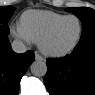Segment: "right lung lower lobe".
<instances>
[{
  "mask_svg": "<svg viewBox=\"0 0 95 95\" xmlns=\"http://www.w3.org/2000/svg\"><path fill=\"white\" fill-rule=\"evenodd\" d=\"M7 34L0 31V95H17L20 80L34 61V53H15Z\"/></svg>",
  "mask_w": 95,
  "mask_h": 95,
  "instance_id": "obj_1",
  "label": "right lung lower lobe"
}]
</instances>
